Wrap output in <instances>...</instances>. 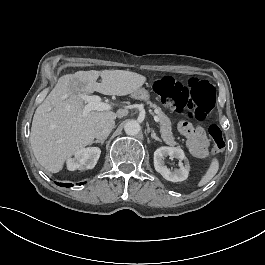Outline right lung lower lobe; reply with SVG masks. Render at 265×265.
Returning a JSON list of instances; mask_svg holds the SVG:
<instances>
[{"mask_svg": "<svg viewBox=\"0 0 265 265\" xmlns=\"http://www.w3.org/2000/svg\"><path fill=\"white\" fill-rule=\"evenodd\" d=\"M57 185H59V186H63V187H71V186H73L72 184H70V183H66V184H64V183H58V182H55ZM81 184H83V183H80V185Z\"/></svg>", "mask_w": 265, "mask_h": 265, "instance_id": "98d812e1", "label": "right lung lower lobe"}]
</instances>
